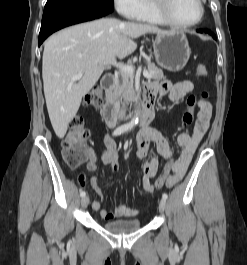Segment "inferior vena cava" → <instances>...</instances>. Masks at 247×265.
Listing matches in <instances>:
<instances>
[{
	"instance_id": "obj_1",
	"label": "inferior vena cava",
	"mask_w": 247,
	"mask_h": 265,
	"mask_svg": "<svg viewBox=\"0 0 247 265\" xmlns=\"http://www.w3.org/2000/svg\"><path fill=\"white\" fill-rule=\"evenodd\" d=\"M125 113H126V108H125V104H123L119 117L122 119L125 116Z\"/></svg>"
}]
</instances>
